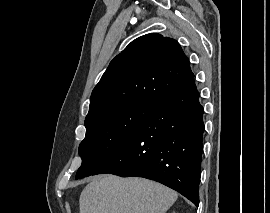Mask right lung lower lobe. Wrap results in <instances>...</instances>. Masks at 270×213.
I'll use <instances>...</instances> for the list:
<instances>
[{
  "label": "right lung lower lobe",
  "mask_w": 270,
  "mask_h": 213,
  "mask_svg": "<svg viewBox=\"0 0 270 213\" xmlns=\"http://www.w3.org/2000/svg\"><path fill=\"white\" fill-rule=\"evenodd\" d=\"M204 109L192 78L158 102L132 137L93 175L144 177L199 205Z\"/></svg>",
  "instance_id": "right-lung-lower-lobe-1"
}]
</instances>
